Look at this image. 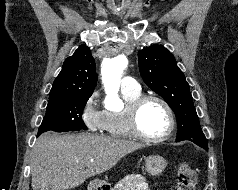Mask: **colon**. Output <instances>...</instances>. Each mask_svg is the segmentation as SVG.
Wrapping results in <instances>:
<instances>
[{"label":"colon","mask_w":238,"mask_h":190,"mask_svg":"<svg viewBox=\"0 0 238 190\" xmlns=\"http://www.w3.org/2000/svg\"><path fill=\"white\" fill-rule=\"evenodd\" d=\"M196 172L188 164L182 163L177 169V181L175 190H195Z\"/></svg>","instance_id":"1"}]
</instances>
